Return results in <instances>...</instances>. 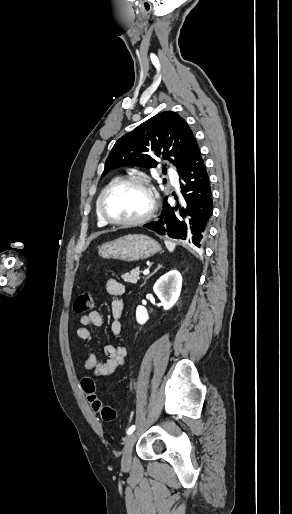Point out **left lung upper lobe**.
I'll list each match as a JSON object with an SVG mask.
<instances>
[{"label": "left lung upper lobe", "mask_w": 292, "mask_h": 514, "mask_svg": "<svg viewBox=\"0 0 292 514\" xmlns=\"http://www.w3.org/2000/svg\"><path fill=\"white\" fill-rule=\"evenodd\" d=\"M194 140L192 130L181 116L172 111L162 112L117 140L102 176L121 166L153 168L158 159L170 161L179 173Z\"/></svg>", "instance_id": "left-lung-upper-lobe-1"}]
</instances>
